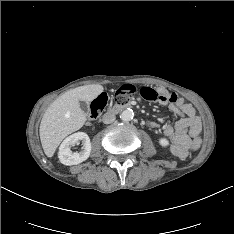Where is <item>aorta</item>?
Wrapping results in <instances>:
<instances>
[{
  "label": "aorta",
  "mask_w": 234,
  "mask_h": 234,
  "mask_svg": "<svg viewBox=\"0 0 234 234\" xmlns=\"http://www.w3.org/2000/svg\"><path fill=\"white\" fill-rule=\"evenodd\" d=\"M134 117V113L132 111V109H125L122 111V113L120 114V118L123 120V121H130L132 120Z\"/></svg>",
  "instance_id": "aorta-1"
}]
</instances>
